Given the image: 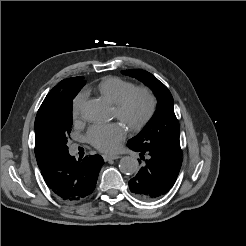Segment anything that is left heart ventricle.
<instances>
[{
    "instance_id": "left-heart-ventricle-1",
    "label": "left heart ventricle",
    "mask_w": 246,
    "mask_h": 246,
    "mask_svg": "<svg viewBox=\"0 0 246 246\" xmlns=\"http://www.w3.org/2000/svg\"><path fill=\"white\" fill-rule=\"evenodd\" d=\"M147 110V100L143 96H138L132 102L129 111L128 117L130 119H138L140 118ZM115 115L117 116L116 110Z\"/></svg>"
}]
</instances>
